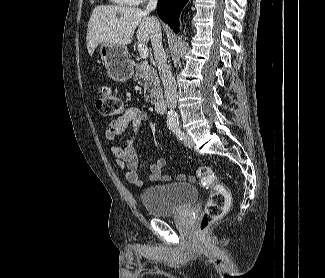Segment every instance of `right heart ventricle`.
<instances>
[{"mask_svg":"<svg viewBox=\"0 0 325 278\" xmlns=\"http://www.w3.org/2000/svg\"><path fill=\"white\" fill-rule=\"evenodd\" d=\"M117 4H120V5H132V1L131 0H111Z\"/></svg>","mask_w":325,"mask_h":278,"instance_id":"obj_1","label":"right heart ventricle"}]
</instances>
